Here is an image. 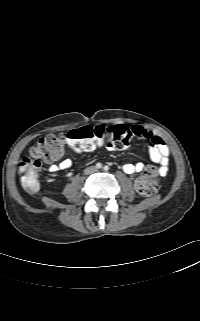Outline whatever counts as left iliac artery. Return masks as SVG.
<instances>
[{
    "label": "left iliac artery",
    "mask_w": 200,
    "mask_h": 321,
    "mask_svg": "<svg viewBox=\"0 0 200 321\" xmlns=\"http://www.w3.org/2000/svg\"><path fill=\"white\" fill-rule=\"evenodd\" d=\"M103 169H104L105 171H107V170L109 169V167H108V166H104Z\"/></svg>",
    "instance_id": "obj_1"
}]
</instances>
